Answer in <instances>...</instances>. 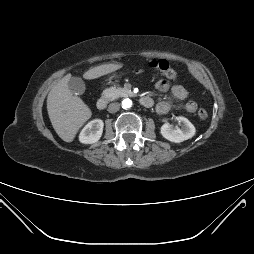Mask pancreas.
Instances as JSON below:
<instances>
[{"label":"pancreas","mask_w":254,"mask_h":254,"mask_svg":"<svg viewBox=\"0 0 254 254\" xmlns=\"http://www.w3.org/2000/svg\"><path fill=\"white\" fill-rule=\"evenodd\" d=\"M131 93L128 92L125 88L120 87H110L103 91L102 96L105 97L108 101H113L119 97L130 95Z\"/></svg>","instance_id":"1"}]
</instances>
